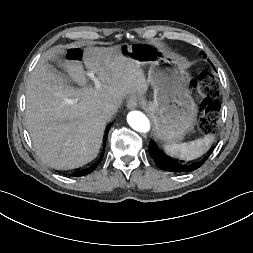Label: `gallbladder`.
<instances>
[{"mask_svg": "<svg viewBox=\"0 0 253 253\" xmlns=\"http://www.w3.org/2000/svg\"><path fill=\"white\" fill-rule=\"evenodd\" d=\"M47 68L54 75L58 76L59 78L63 79L64 81H68L67 76L65 74L61 73L59 70H57L53 65L47 64Z\"/></svg>", "mask_w": 253, "mask_h": 253, "instance_id": "1", "label": "gallbladder"}]
</instances>
